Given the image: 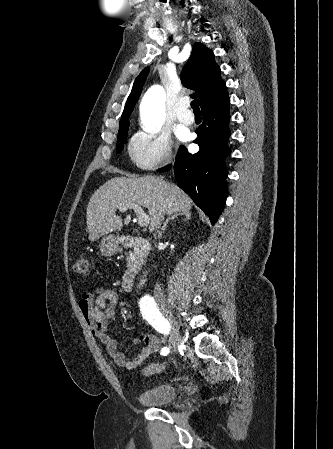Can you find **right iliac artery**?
Listing matches in <instances>:
<instances>
[{"label":"right iliac artery","instance_id":"right-iliac-artery-1","mask_svg":"<svg viewBox=\"0 0 333 449\" xmlns=\"http://www.w3.org/2000/svg\"><path fill=\"white\" fill-rule=\"evenodd\" d=\"M140 310L144 319H146L158 332L167 335L170 331L169 322L160 313L154 299L144 296L139 302ZM169 348L164 347L161 350L162 355H167Z\"/></svg>","mask_w":333,"mask_h":449}]
</instances>
